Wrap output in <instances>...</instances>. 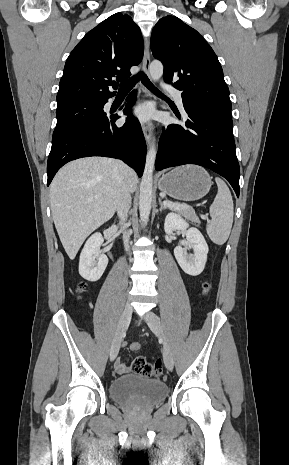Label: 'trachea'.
<instances>
[{
    "label": "trachea",
    "mask_w": 289,
    "mask_h": 465,
    "mask_svg": "<svg viewBox=\"0 0 289 465\" xmlns=\"http://www.w3.org/2000/svg\"><path fill=\"white\" fill-rule=\"evenodd\" d=\"M142 81V83L148 88L150 89L152 92L156 93V94H159V95H163L151 82L150 80L148 79L147 75H145L143 72H139L138 74H136L133 78H131L130 80H128L127 82L123 83L121 85V88H120V92H126V91H129L131 90V88L135 85V83L140 80Z\"/></svg>",
    "instance_id": "3493384b"
}]
</instances>
